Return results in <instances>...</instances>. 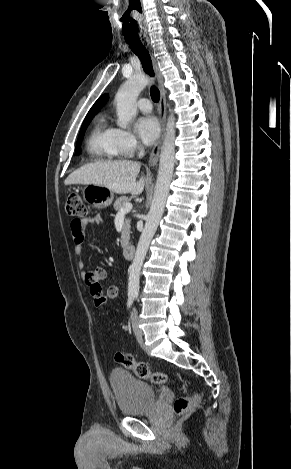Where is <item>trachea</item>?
Listing matches in <instances>:
<instances>
[{
  "instance_id": "1",
  "label": "trachea",
  "mask_w": 291,
  "mask_h": 469,
  "mask_svg": "<svg viewBox=\"0 0 291 469\" xmlns=\"http://www.w3.org/2000/svg\"><path fill=\"white\" fill-rule=\"evenodd\" d=\"M131 50L138 56L141 61L144 71L151 77H154V70L152 67V61L150 54L142 41L138 37H125ZM151 98L154 102H158L160 99V92L156 86H152L150 89Z\"/></svg>"
}]
</instances>
